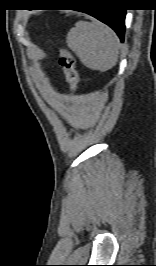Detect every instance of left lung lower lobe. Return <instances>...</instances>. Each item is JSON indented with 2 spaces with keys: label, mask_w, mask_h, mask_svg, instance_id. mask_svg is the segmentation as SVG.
Returning <instances> with one entry per match:
<instances>
[{
  "label": "left lung lower lobe",
  "mask_w": 156,
  "mask_h": 266,
  "mask_svg": "<svg viewBox=\"0 0 156 266\" xmlns=\"http://www.w3.org/2000/svg\"><path fill=\"white\" fill-rule=\"evenodd\" d=\"M98 3H108L107 0H95ZM79 11L86 12L95 18L99 19L103 23L110 26L115 30L121 41L124 40L125 33V10L124 9H114L109 7L103 8H83L78 9Z\"/></svg>",
  "instance_id": "left-lung-lower-lobe-1"
}]
</instances>
